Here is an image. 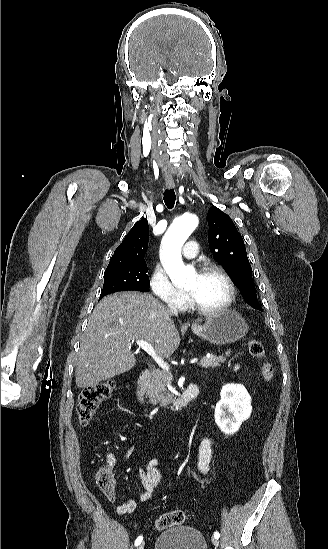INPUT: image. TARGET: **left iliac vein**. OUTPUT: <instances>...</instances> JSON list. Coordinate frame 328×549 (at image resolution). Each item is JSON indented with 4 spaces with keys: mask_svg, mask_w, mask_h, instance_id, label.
Returning <instances> with one entry per match:
<instances>
[{
    "mask_svg": "<svg viewBox=\"0 0 328 549\" xmlns=\"http://www.w3.org/2000/svg\"><path fill=\"white\" fill-rule=\"evenodd\" d=\"M211 541H212V544H213L214 546H218L219 540H218L217 538H212Z\"/></svg>",
    "mask_w": 328,
    "mask_h": 549,
    "instance_id": "left-iliac-vein-1",
    "label": "left iliac vein"
}]
</instances>
